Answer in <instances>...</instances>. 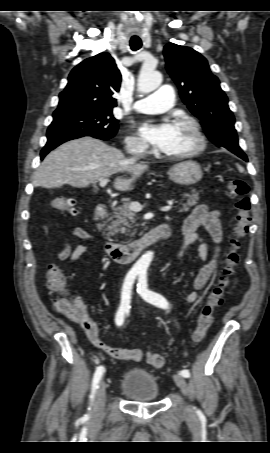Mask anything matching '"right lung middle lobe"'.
<instances>
[{
	"mask_svg": "<svg viewBox=\"0 0 270 453\" xmlns=\"http://www.w3.org/2000/svg\"><path fill=\"white\" fill-rule=\"evenodd\" d=\"M118 120L108 111H85L54 117L47 135H91L107 140L115 136Z\"/></svg>",
	"mask_w": 270,
	"mask_h": 453,
	"instance_id": "obj_1",
	"label": "right lung middle lobe"
}]
</instances>
